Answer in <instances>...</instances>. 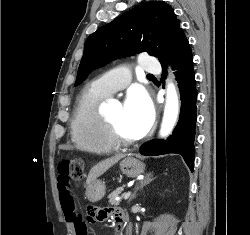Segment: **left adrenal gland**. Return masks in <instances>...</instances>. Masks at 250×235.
Wrapping results in <instances>:
<instances>
[{"instance_id": "left-adrenal-gland-1", "label": "left adrenal gland", "mask_w": 250, "mask_h": 235, "mask_svg": "<svg viewBox=\"0 0 250 235\" xmlns=\"http://www.w3.org/2000/svg\"><path fill=\"white\" fill-rule=\"evenodd\" d=\"M155 178H152V174L149 173L145 176L144 180L141 181L140 185L136 187L133 195L130 197L129 202L132 201L134 198H136V194L137 191L141 188H143L144 186H146L147 184H149L150 182H152Z\"/></svg>"}]
</instances>
